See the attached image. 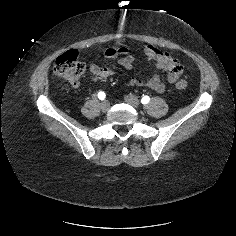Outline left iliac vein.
<instances>
[{"label": "left iliac vein", "instance_id": "obj_1", "mask_svg": "<svg viewBox=\"0 0 236 236\" xmlns=\"http://www.w3.org/2000/svg\"><path fill=\"white\" fill-rule=\"evenodd\" d=\"M124 100L127 104L133 106L134 108H138L140 105L138 98L134 95H126Z\"/></svg>", "mask_w": 236, "mask_h": 236}]
</instances>
